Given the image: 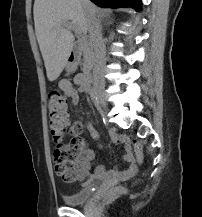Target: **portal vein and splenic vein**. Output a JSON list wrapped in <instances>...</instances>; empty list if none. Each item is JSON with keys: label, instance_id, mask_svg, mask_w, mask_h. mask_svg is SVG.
Segmentation results:
<instances>
[{"label": "portal vein and splenic vein", "instance_id": "obj_1", "mask_svg": "<svg viewBox=\"0 0 202 217\" xmlns=\"http://www.w3.org/2000/svg\"><path fill=\"white\" fill-rule=\"evenodd\" d=\"M63 26L68 28V29H73L75 31L76 34L80 35L81 34V31L80 29H78L73 23L71 22H64L63 23Z\"/></svg>", "mask_w": 202, "mask_h": 217}]
</instances>
